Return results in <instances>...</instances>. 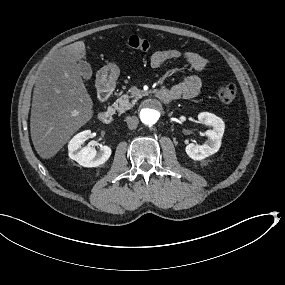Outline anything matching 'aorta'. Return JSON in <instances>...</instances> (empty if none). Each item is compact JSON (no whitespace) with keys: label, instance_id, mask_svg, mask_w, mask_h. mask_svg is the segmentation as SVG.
<instances>
[{"label":"aorta","instance_id":"obj_1","mask_svg":"<svg viewBox=\"0 0 285 285\" xmlns=\"http://www.w3.org/2000/svg\"><path fill=\"white\" fill-rule=\"evenodd\" d=\"M167 108L163 100L150 96L142 100L138 108L140 121L149 127L159 125L165 118Z\"/></svg>","mask_w":285,"mask_h":285}]
</instances>
